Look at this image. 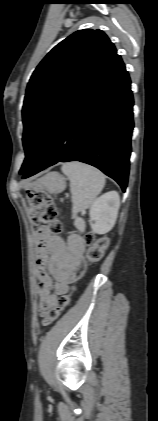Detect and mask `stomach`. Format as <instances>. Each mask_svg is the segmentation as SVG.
Instances as JSON below:
<instances>
[{"instance_id":"stomach-1","label":"stomach","mask_w":158,"mask_h":421,"mask_svg":"<svg viewBox=\"0 0 158 421\" xmlns=\"http://www.w3.org/2000/svg\"><path fill=\"white\" fill-rule=\"evenodd\" d=\"M34 187H38L50 193L57 194L65 190L66 179L58 172H48L35 181Z\"/></svg>"}]
</instances>
